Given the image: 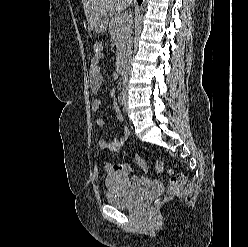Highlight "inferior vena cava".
I'll return each mask as SVG.
<instances>
[{"label": "inferior vena cava", "mask_w": 248, "mask_h": 247, "mask_svg": "<svg viewBox=\"0 0 248 247\" xmlns=\"http://www.w3.org/2000/svg\"><path fill=\"white\" fill-rule=\"evenodd\" d=\"M131 2V1H130ZM127 20V26H128V45H127V52H126V58H127V64H128V70H129V63L132 59V53H133V42H132V37H131V28L133 25V14L130 11L129 14L126 17Z\"/></svg>", "instance_id": "1"}]
</instances>
